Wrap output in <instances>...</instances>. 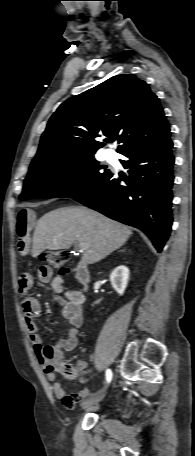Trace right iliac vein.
Instances as JSON below:
<instances>
[{"instance_id": "63e3f726", "label": "right iliac vein", "mask_w": 195, "mask_h": 456, "mask_svg": "<svg viewBox=\"0 0 195 456\" xmlns=\"http://www.w3.org/2000/svg\"><path fill=\"white\" fill-rule=\"evenodd\" d=\"M104 395H105L104 393H100V394H97V395L85 400L81 405L82 408H88V407H91V406L99 403L103 399Z\"/></svg>"}]
</instances>
